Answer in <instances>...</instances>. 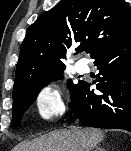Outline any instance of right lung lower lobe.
Segmentation results:
<instances>
[{
	"instance_id": "right-lung-lower-lobe-1",
	"label": "right lung lower lobe",
	"mask_w": 131,
	"mask_h": 151,
	"mask_svg": "<svg viewBox=\"0 0 131 151\" xmlns=\"http://www.w3.org/2000/svg\"><path fill=\"white\" fill-rule=\"evenodd\" d=\"M91 58L102 76L96 80L98 92L79 81L70 108L90 127L131 132V32L97 49Z\"/></svg>"
}]
</instances>
